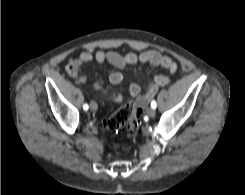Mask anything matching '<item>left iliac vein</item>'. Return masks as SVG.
Returning a JSON list of instances; mask_svg holds the SVG:
<instances>
[{"label":"left iliac vein","mask_w":245,"mask_h":195,"mask_svg":"<svg viewBox=\"0 0 245 195\" xmlns=\"http://www.w3.org/2000/svg\"><path fill=\"white\" fill-rule=\"evenodd\" d=\"M147 114H148V116H150V117H154V116H155V109H153V108H148V109H147Z\"/></svg>","instance_id":"obj_1"}]
</instances>
